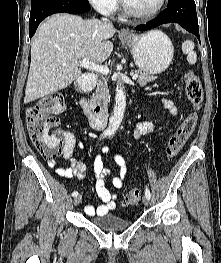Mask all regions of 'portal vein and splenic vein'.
<instances>
[{
    "mask_svg": "<svg viewBox=\"0 0 221 263\" xmlns=\"http://www.w3.org/2000/svg\"><path fill=\"white\" fill-rule=\"evenodd\" d=\"M79 65L81 67L87 68L92 71H96L98 73H101L103 75H107L109 73V68L107 66L99 65L97 63L89 61L88 58H84L82 61L79 62ZM138 74L132 75V79L135 80L138 78Z\"/></svg>",
    "mask_w": 221,
    "mask_h": 263,
    "instance_id": "18ae733b",
    "label": "portal vein and splenic vein"
}]
</instances>
